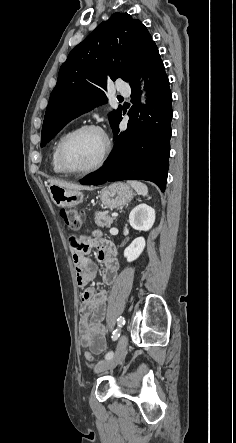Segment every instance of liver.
I'll return each mask as SVG.
<instances>
[{
  "label": "liver",
  "mask_w": 236,
  "mask_h": 443,
  "mask_svg": "<svg viewBox=\"0 0 236 443\" xmlns=\"http://www.w3.org/2000/svg\"><path fill=\"white\" fill-rule=\"evenodd\" d=\"M49 182H50V185H57V186L65 187V188H68V189L79 190V189L83 188L81 186L74 185V184H69V183H66V182H63V181H60V180H50Z\"/></svg>",
  "instance_id": "obj_1"
}]
</instances>
